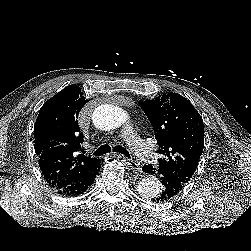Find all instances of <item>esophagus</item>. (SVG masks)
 <instances>
[{
	"instance_id": "esophagus-1",
	"label": "esophagus",
	"mask_w": 251,
	"mask_h": 251,
	"mask_svg": "<svg viewBox=\"0 0 251 251\" xmlns=\"http://www.w3.org/2000/svg\"><path fill=\"white\" fill-rule=\"evenodd\" d=\"M118 158H122L125 159V156H123L122 154H115ZM128 161V165L131 168V170L135 173H140L141 172V167H140V163L137 160H133V159H127Z\"/></svg>"
}]
</instances>
